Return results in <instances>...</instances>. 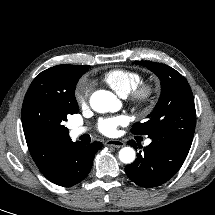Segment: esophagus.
Here are the masks:
<instances>
[{"mask_svg": "<svg viewBox=\"0 0 215 215\" xmlns=\"http://www.w3.org/2000/svg\"><path fill=\"white\" fill-rule=\"evenodd\" d=\"M105 144L107 146H110V147H115V148H121L125 145V143L121 140H107L105 142Z\"/></svg>", "mask_w": 215, "mask_h": 215, "instance_id": "obj_1", "label": "esophagus"}]
</instances>
